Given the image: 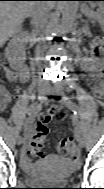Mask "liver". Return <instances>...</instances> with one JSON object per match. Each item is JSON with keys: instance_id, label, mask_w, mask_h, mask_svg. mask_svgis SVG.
Segmentation results:
<instances>
[{"instance_id": "6515ba94", "label": "liver", "mask_w": 104, "mask_h": 189, "mask_svg": "<svg viewBox=\"0 0 104 189\" xmlns=\"http://www.w3.org/2000/svg\"><path fill=\"white\" fill-rule=\"evenodd\" d=\"M41 3L36 1H1L0 3V40L4 42L16 35L25 18ZM50 6V4H47Z\"/></svg>"}]
</instances>
